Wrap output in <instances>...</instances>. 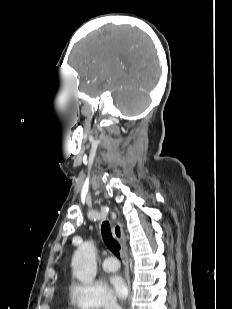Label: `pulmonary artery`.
<instances>
[{"instance_id":"pulmonary-artery-1","label":"pulmonary artery","mask_w":232,"mask_h":309,"mask_svg":"<svg viewBox=\"0 0 232 309\" xmlns=\"http://www.w3.org/2000/svg\"><path fill=\"white\" fill-rule=\"evenodd\" d=\"M102 268L104 271L113 272L119 268V263L114 257H107L102 262Z\"/></svg>"}]
</instances>
